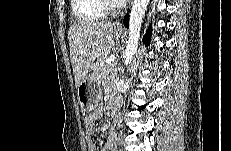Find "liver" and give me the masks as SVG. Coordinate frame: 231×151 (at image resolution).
Masks as SVG:
<instances>
[{
  "label": "liver",
  "instance_id": "obj_1",
  "mask_svg": "<svg viewBox=\"0 0 231 151\" xmlns=\"http://www.w3.org/2000/svg\"><path fill=\"white\" fill-rule=\"evenodd\" d=\"M68 40L75 86L78 88L99 57L114 44L112 22H81L69 28Z\"/></svg>",
  "mask_w": 231,
  "mask_h": 151
}]
</instances>
